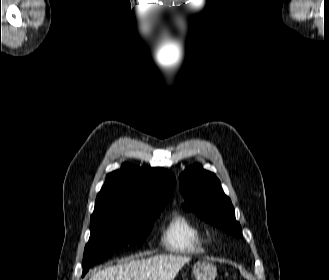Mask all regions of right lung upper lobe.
Masks as SVG:
<instances>
[{
	"instance_id": "cb5924a9",
	"label": "right lung upper lobe",
	"mask_w": 329,
	"mask_h": 280,
	"mask_svg": "<svg viewBox=\"0 0 329 280\" xmlns=\"http://www.w3.org/2000/svg\"><path fill=\"white\" fill-rule=\"evenodd\" d=\"M175 183L174 175L163 168H140L124 163L120 170L107 175L96 205L117 201L148 206L154 201L169 200Z\"/></svg>"
}]
</instances>
